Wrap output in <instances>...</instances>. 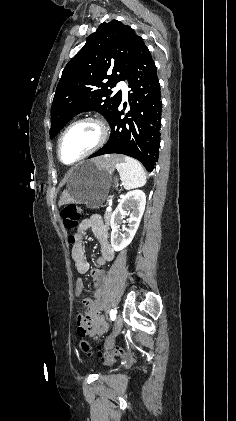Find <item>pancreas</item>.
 <instances>
[{"mask_svg": "<svg viewBox=\"0 0 236 421\" xmlns=\"http://www.w3.org/2000/svg\"><path fill=\"white\" fill-rule=\"evenodd\" d=\"M110 217H111V213H105L104 219H105L106 225H109Z\"/></svg>", "mask_w": 236, "mask_h": 421, "instance_id": "obj_1", "label": "pancreas"}]
</instances>
